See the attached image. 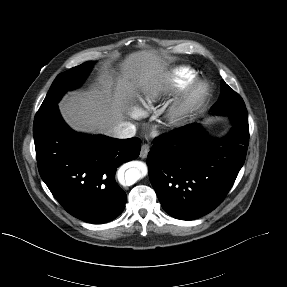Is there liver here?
Listing matches in <instances>:
<instances>
[{
    "label": "liver",
    "mask_w": 287,
    "mask_h": 287,
    "mask_svg": "<svg viewBox=\"0 0 287 287\" xmlns=\"http://www.w3.org/2000/svg\"><path fill=\"white\" fill-rule=\"evenodd\" d=\"M121 72L116 82L108 72H103L96 87L62 99L59 109L72 129L111 135V130L125 119L133 87L156 84L166 76L164 60L149 51L128 55L121 64Z\"/></svg>",
    "instance_id": "1"
}]
</instances>
